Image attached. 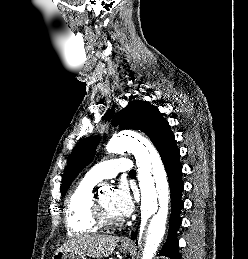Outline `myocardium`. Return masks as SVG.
I'll list each match as a JSON object with an SVG mask.
<instances>
[{"label": "myocardium", "instance_id": "f54148a6", "mask_svg": "<svg viewBox=\"0 0 248 259\" xmlns=\"http://www.w3.org/2000/svg\"><path fill=\"white\" fill-rule=\"evenodd\" d=\"M92 214H93V218H94L95 222L100 227L113 228V227H117V226L121 225L123 222V220L121 218L110 219L107 216L98 195H95L93 198Z\"/></svg>", "mask_w": 248, "mask_h": 259}]
</instances>
